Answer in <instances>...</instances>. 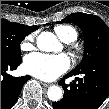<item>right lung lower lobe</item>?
<instances>
[{
  "instance_id": "98d812e1",
  "label": "right lung lower lobe",
  "mask_w": 109,
  "mask_h": 109,
  "mask_svg": "<svg viewBox=\"0 0 109 109\" xmlns=\"http://www.w3.org/2000/svg\"><path fill=\"white\" fill-rule=\"evenodd\" d=\"M21 60L5 62L1 61V109H10L18 99L24 83L29 76L13 77L6 73L7 70H15Z\"/></svg>"
}]
</instances>
